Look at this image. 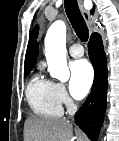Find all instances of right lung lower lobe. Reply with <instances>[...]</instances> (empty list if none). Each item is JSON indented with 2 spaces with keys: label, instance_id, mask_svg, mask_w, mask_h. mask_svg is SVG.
I'll use <instances>...</instances> for the list:
<instances>
[{
  "label": "right lung lower lobe",
  "instance_id": "1",
  "mask_svg": "<svg viewBox=\"0 0 119 141\" xmlns=\"http://www.w3.org/2000/svg\"><path fill=\"white\" fill-rule=\"evenodd\" d=\"M89 58L95 70L91 93L75 114V122L90 138L97 141L107 105V67L101 36L93 33L89 45Z\"/></svg>",
  "mask_w": 119,
  "mask_h": 141
}]
</instances>
